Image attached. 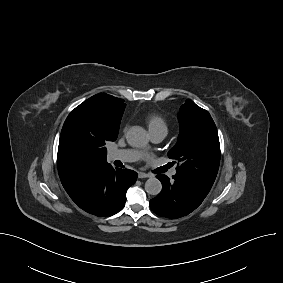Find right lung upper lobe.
<instances>
[{"label":"right lung upper lobe","instance_id":"right-lung-upper-lobe-1","mask_svg":"<svg viewBox=\"0 0 283 283\" xmlns=\"http://www.w3.org/2000/svg\"><path fill=\"white\" fill-rule=\"evenodd\" d=\"M86 103H92L94 106L104 115L107 116L108 119H113L119 112L123 110L124 101L119 98H115L111 95L100 93L92 96ZM107 163V161L103 162H95L88 165H79L67 160L61 153L58 152L57 157V166L58 172L61 179L62 184H65L74 176L87 172L101 164Z\"/></svg>","mask_w":283,"mask_h":283}]
</instances>
